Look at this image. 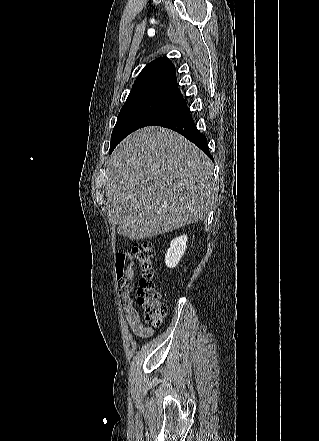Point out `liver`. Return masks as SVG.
<instances>
[{
  "label": "liver",
  "instance_id": "obj_1",
  "mask_svg": "<svg viewBox=\"0 0 319 441\" xmlns=\"http://www.w3.org/2000/svg\"><path fill=\"white\" fill-rule=\"evenodd\" d=\"M211 160L179 133L139 129L113 152L105 193L117 232L141 240L202 220L216 188Z\"/></svg>",
  "mask_w": 319,
  "mask_h": 441
}]
</instances>
